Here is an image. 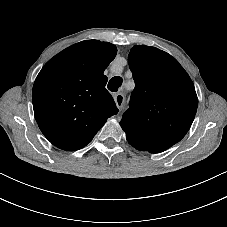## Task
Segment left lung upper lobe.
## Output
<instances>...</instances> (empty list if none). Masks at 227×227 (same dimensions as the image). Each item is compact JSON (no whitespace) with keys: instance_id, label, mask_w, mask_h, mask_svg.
<instances>
[{"instance_id":"obj_1","label":"left lung upper lobe","mask_w":227,"mask_h":227,"mask_svg":"<svg viewBox=\"0 0 227 227\" xmlns=\"http://www.w3.org/2000/svg\"><path fill=\"white\" fill-rule=\"evenodd\" d=\"M128 64L135 89L120 125L136 149L162 152L191 127L198 106L193 82L175 58L155 47L134 46Z\"/></svg>"}]
</instances>
